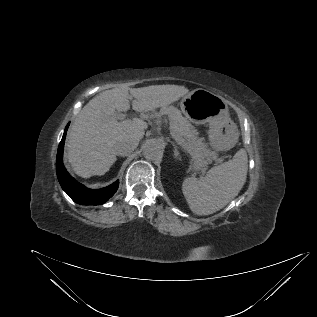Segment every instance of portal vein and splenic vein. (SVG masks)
<instances>
[{
    "label": "portal vein and splenic vein",
    "instance_id": "18ae733b",
    "mask_svg": "<svg viewBox=\"0 0 317 317\" xmlns=\"http://www.w3.org/2000/svg\"><path fill=\"white\" fill-rule=\"evenodd\" d=\"M114 118H115V119H118V120H124V119H125V115L122 114V113H118V114H116V115L114 116ZM173 138L178 142V140H177L176 137H173ZM178 143H179V142H178Z\"/></svg>",
    "mask_w": 317,
    "mask_h": 317
}]
</instances>
